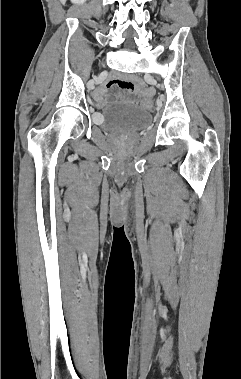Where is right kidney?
I'll return each mask as SVG.
<instances>
[{
  "label": "right kidney",
  "mask_w": 241,
  "mask_h": 379,
  "mask_svg": "<svg viewBox=\"0 0 241 379\" xmlns=\"http://www.w3.org/2000/svg\"><path fill=\"white\" fill-rule=\"evenodd\" d=\"M86 0H71L74 4H83Z\"/></svg>",
  "instance_id": "obj_1"
}]
</instances>
